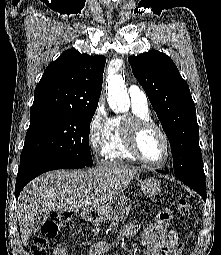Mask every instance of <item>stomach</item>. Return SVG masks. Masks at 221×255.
<instances>
[{
    "instance_id": "1",
    "label": "stomach",
    "mask_w": 221,
    "mask_h": 255,
    "mask_svg": "<svg viewBox=\"0 0 221 255\" xmlns=\"http://www.w3.org/2000/svg\"><path fill=\"white\" fill-rule=\"evenodd\" d=\"M141 191L145 196L153 197L160 191V184L154 178H146L141 182ZM130 209V199L124 194H119L88 218L95 221L107 219L122 222L128 217Z\"/></svg>"
}]
</instances>
